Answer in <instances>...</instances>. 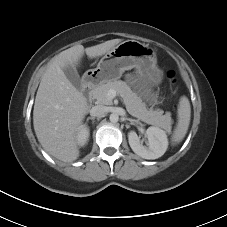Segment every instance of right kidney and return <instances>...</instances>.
I'll use <instances>...</instances> for the list:
<instances>
[{
    "instance_id": "right-kidney-1",
    "label": "right kidney",
    "mask_w": 227,
    "mask_h": 227,
    "mask_svg": "<svg viewBox=\"0 0 227 227\" xmlns=\"http://www.w3.org/2000/svg\"><path fill=\"white\" fill-rule=\"evenodd\" d=\"M89 138V129L82 125L77 132V142L79 145L83 146L87 143Z\"/></svg>"
}]
</instances>
